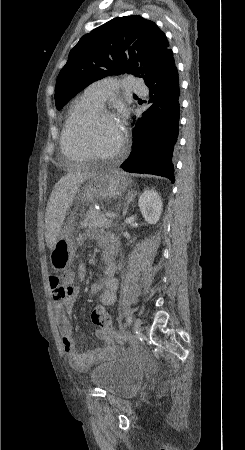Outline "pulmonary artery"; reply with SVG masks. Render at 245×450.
<instances>
[{
    "label": "pulmonary artery",
    "mask_w": 245,
    "mask_h": 450,
    "mask_svg": "<svg viewBox=\"0 0 245 450\" xmlns=\"http://www.w3.org/2000/svg\"><path fill=\"white\" fill-rule=\"evenodd\" d=\"M122 84L127 93H140L145 84L133 76H123L120 80L107 77L87 86L84 95L96 105L102 106L109 97L118 93V84Z\"/></svg>",
    "instance_id": "obj_1"
}]
</instances>
